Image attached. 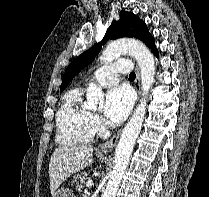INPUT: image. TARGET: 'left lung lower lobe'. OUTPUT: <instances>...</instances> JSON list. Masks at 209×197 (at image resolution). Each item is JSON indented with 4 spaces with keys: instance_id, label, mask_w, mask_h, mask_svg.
Masks as SVG:
<instances>
[{
    "instance_id": "1",
    "label": "left lung lower lobe",
    "mask_w": 209,
    "mask_h": 197,
    "mask_svg": "<svg viewBox=\"0 0 209 197\" xmlns=\"http://www.w3.org/2000/svg\"><path fill=\"white\" fill-rule=\"evenodd\" d=\"M152 50L154 51L155 55L158 57V51H157L156 47H154Z\"/></svg>"
}]
</instances>
